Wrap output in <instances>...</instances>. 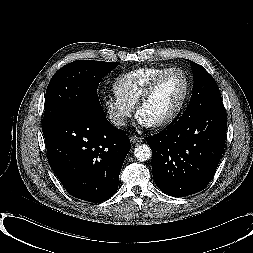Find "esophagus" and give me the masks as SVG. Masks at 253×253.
Wrapping results in <instances>:
<instances>
[{"label":"esophagus","mask_w":253,"mask_h":253,"mask_svg":"<svg viewBox=\"0 0 253 253\" xmlns=\"http://www.w3.org/2000/svg\"><path fill=\"white\" fill-rule=\"evenodd\" d=\"M130 141L132 144H138V143H141L143 141V139L141 137L136 136V135H131Z\"/></svg>","instance_id":"1"}]
</instances>
